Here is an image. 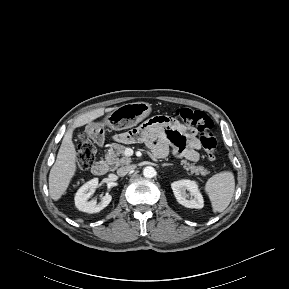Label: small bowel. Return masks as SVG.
I'll list each match as a JSON object with an SVG mask.
<instances>
[{"instance_id":"obj_1","label":"small bowel","mask_w":289,"mask_h":289,"mask_svg":"<svg viewBox=\"0 0 289 289\" xmlns=\"http://www.w3.org/2000/svg\"><path fill=\"white\" fill-rule=\"evenodd\" d=\"M119 139L145 142L159 159L167 155L171 145L175 155L197 161L198 150L201 148V141L194 128L184 126L169 117L150 119L126 135L119 136Z\"/></svg>"}]
</instances>
